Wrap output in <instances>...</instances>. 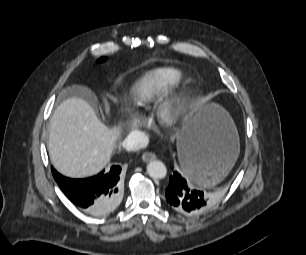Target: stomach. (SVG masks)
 Returning a JSON list of instances; mask_svg holds the SVG:
<instances>
[{"instance_id":"obj_1","label":"stomach","mask_w":306,"mask_h":255,"mask_svg":"<svg viewBox=\"0 0 306 255\" xmlns=\"http://www.w3.org/2000/svg\"><path fill=\"white\" fill-rule=\"evenodd\" d=\"M188 147L200 151L213 162L211 178L191 176L199 186L220 182L233 167L239 153V138L230 115L217 104L198 106L177 134V148L182 163Z\"/></svg>"}]
</instances>
